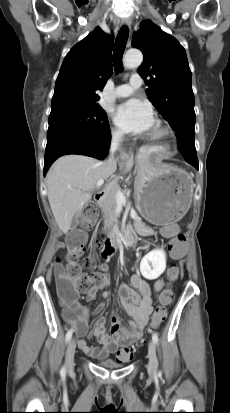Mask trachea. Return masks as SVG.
<instances>
[{
  "label": "trachea",
  "instance_id": "1",
  "mask_svg": "<svg viewBox=\"0 0 230 413\" xmlns=\"http://www.w3.org/2000/svg\"><path fill=\"white\" fill-rule=\"evenodd\" d=\"M129 30L127 26H123L116 37L114 51H113V64L115 71L122 70V56L125 51L126 43L128 40Z\"/></svg>",
  "mask_w": 230,
  "mask_h": 413
}]
</instances>
